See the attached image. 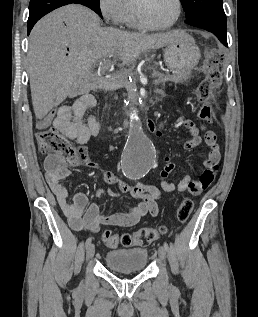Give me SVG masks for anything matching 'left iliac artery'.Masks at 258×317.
<instances>
[{"label": "left iliac artery", "mask_w": 258, "mask_h": 317, "mask_svg": "<svg viewBox=\"0 0 258 317\" xmlns=\"http://www.w3.org/2000/svg\"><path fill=\"white\" fill-rule=\"evenodd\" d=\"M164 249H165L166 251L169 250V245H168V243H167L166 241H164ZM175 292H176V293H179L180 291H179L178 288H175Z\"/></svg>", "instance_id": "obj_1"}]
</instances>
